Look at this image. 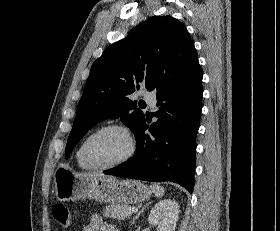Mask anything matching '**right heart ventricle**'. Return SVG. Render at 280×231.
Instances as JSON below:
<instances>
[{"label": "right heart ventricle", "instance_id": "e07e8e85", "mask_svg": "<svg viewBox=\"0 0 280 231\" xmlns=\"http://www.w3.org/2000/svg\"><path fill=\"white\" fill-rule=\"evenodd\" d=\"M98 127L94 128L92 131H90L77 145L76 149H75V153H74V158H75V163L77 165V167L80 169V170H83V171H89V170H92L91 168H89L82 160V157H81V153H82V147H83V144L85 142V140L87 139V137L93 133Z\"/></svg>", "mask_w": 280, "mask_h": 231}]
</instances>
